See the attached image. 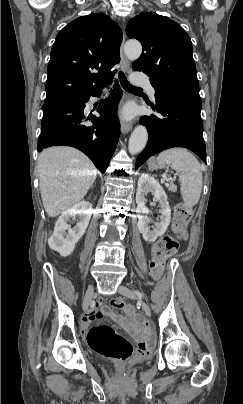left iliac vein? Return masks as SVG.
<instances>
[{"mask_svg": "<svg viewBox=\"0 0 243 404\" xmlns=\"http://www.w3.org/2000/svg\"><path fill=\"white\" fill-rule=\"evenodd\" d=\"M118 292L121 295H124L126 297L132 298V299H137L142 307V310L144 311V313L150 317L151 316V309L149 307V305L142 300L140 297H137L136 294L134 293V291H132L131 289H129L128 287L124 286V285H120L118 287Z\"/></svg>", "mask_w": 243, "mask_h": 404, "instance_id": "obj_1", "label": "left iliac vein"}]
</instances>
